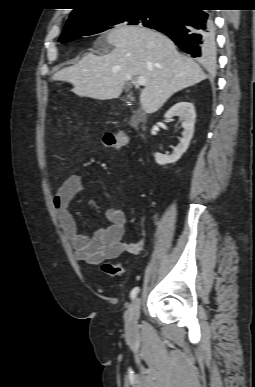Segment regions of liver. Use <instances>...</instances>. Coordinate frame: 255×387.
Wrapping results in <instances>:
<instances>
[{
  "instance_id": "1",
  "label": "liver",
  "mask_w": 255,
  "mask_h": 387,
  "mask_svg": "<svg viewBox=\"0 0 255 387\" xmlns=\"http://www.w3.org/2000/svg\"><path fill=\"white\" fill-rule=\"evenodd\" d=\"M114 49L105 55L86 54L78 63L58 71L57 81L73 85L72 91L99 100L118 98L128 76L144 77L140 103L147 114L155 113L175 93L206 79L189 57L179 53L162 33L142 26H122L106 37Z\"/></svg>"
}]
</instances>
